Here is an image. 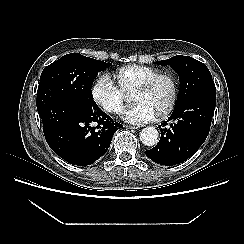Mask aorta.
Masks as SVG:
<instances>
[{
    "mask_svg": "<svg viewBox=\"0 0 244 244\" xmlns=\"http://www.w3.org/2000/svg\"><path fill=\"white\" fill-rule=\"evenodd\" d=\"M159 138L158 131L153 127L145 128L140 133L141 142L146 146H154Z\"/></svg>",
    "mask_w": 244,
    "mask_h": 244,
    "instance_id": "1",
    "label": "aorta"
}]
</instances>
